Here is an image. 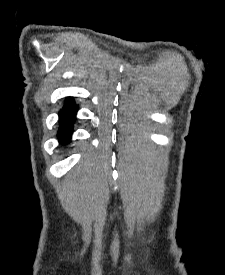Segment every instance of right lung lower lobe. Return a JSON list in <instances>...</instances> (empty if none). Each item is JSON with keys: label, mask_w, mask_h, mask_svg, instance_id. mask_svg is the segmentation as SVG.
<instances>
[{"label": "right lung lower lobe", "mask_w": 225, "mask_h": 275, "mask_svg": "<svg viewBox=\"0 0 225 275\" xmlns=\"http://www.w3.org/2000/svg\"><path fill=\"white\" fill-rule=\"evenodd\" d=\"M77 110L78 106L73 103L72 98L64 101L63 109L59 112L60 120L57 134L59 142H61L62 145H68L70 143Z\"/></svg>", "instance_id": "obj_1"}]
</instances>
